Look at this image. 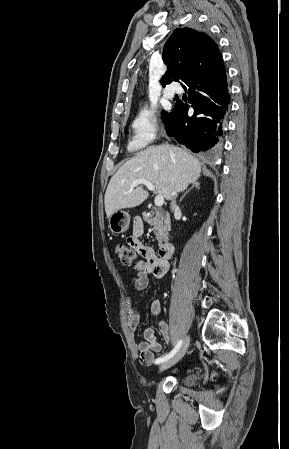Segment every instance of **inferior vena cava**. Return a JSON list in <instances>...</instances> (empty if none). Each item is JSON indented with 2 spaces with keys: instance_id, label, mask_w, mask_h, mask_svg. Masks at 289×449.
Returning <instances> with one entry per match:
<instances>
[{
  "instance_id": "obj_1",
  "label": "inferior vena cava",
  "mask_w": 289,
  "mask_h": 449,
  "mask_svg": "<svg viewBox=\"0 0 289 449\" xmlns=\"http://www.w3.org/2000/svg\"><path fill=\"white\" fill-rule=\"evenodd\" d=\"M171 210L174 211V212H177L179 210V208L176 205L175 201H172V203H171Z\"/></svg>"
}]
</instances>
